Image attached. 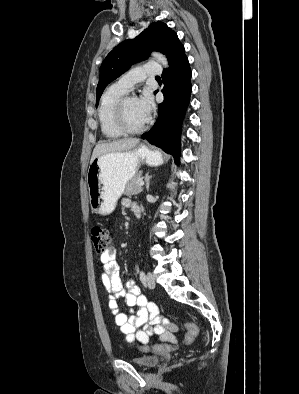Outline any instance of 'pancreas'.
<instances>
[{
	"instance_id": "cf45deb5",
	"label": "pancreas",
	"mask_w": 299,
	"mask_h": 394,
	"mask_svg": "<svg viewBox=\"0 0 299 394\" xmlns=\"http://www.w3.org/2000/svg\"><path fill=\"white\" fill-rule=\"evenodd\" d=\"M142 179V173H137L133 179L127 184L124 194L127 196L136 195L142 192L143 188L139 186Z\"/></svg>"
}]
</instances>
